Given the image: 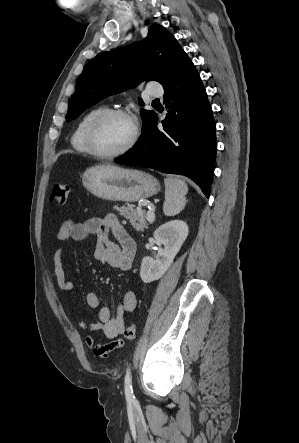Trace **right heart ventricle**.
<instances>
[{
    "mask_svg": "<svg viewBox=\"0 0 299 443\" xmlns=\"http://www.w3.org/2000/svg\"><path fill=\"white\" fill-rule=\"evenodd\" d=\"M105 106L99 105L87 113H85L82 118L78 121L72 136H71V145L75 151L81 154H90L85 143V133L86 129L91 122V120L101 111L105 110Z\"/></svg>",
    "mask_w": 299,
    "mask_h": 443,
    "instance_id": "1",
    "label": "right heart ventricle"
}]
</instances>
